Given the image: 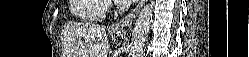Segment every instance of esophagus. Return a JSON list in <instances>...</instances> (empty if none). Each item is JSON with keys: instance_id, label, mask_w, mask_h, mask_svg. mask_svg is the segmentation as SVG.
Returning <instances> with one entry per match:
<instances>
[{"instance_id": "34e87169", "label": "esophagus", "mask_w": 249, "mask_h": 57, "mask_svg": "<svg viewBox=\"0 0 249 57\" xmlns=\"http://www.w3.org/2000/svg\"><path fill=\"white\" fill-rule=\"evenodd\" d=\"M145 1L146 0H140L137 6L128 15H126L119 21L112 24L110 27V30L112 32H120V31H125L126 29H129L132 26V23L134 22L137 15L139 14Z\"/></svg>"}]
</instances>
